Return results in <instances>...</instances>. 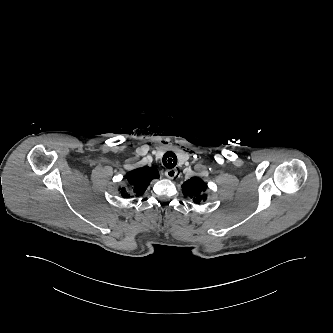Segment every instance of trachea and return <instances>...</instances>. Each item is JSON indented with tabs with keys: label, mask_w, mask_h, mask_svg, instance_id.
I'll return each mask as SVG.
<instances>
[{
	"label": "trachea",
	"mask_w": 333,
	"mask_h": 333,
	"mask_svg": "<svg viewBox=\"0 0 333 333\" xmlns=\"http://www.w3.org/2000/svg\"><path fill=\"white\" fill-rule=\"evenodd\" d=\"M163 164L167 168H173L177 165V156L175 153L168 151L163 156Z\"/></svg>",
	"instance_id": "3493384b"
}]
</instances>
